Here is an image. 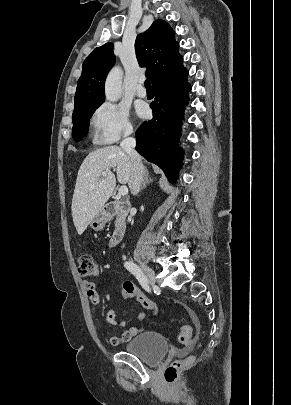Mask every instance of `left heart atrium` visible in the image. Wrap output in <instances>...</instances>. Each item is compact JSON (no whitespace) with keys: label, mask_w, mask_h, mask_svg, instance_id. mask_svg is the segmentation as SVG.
<instances>
[{"label":"left heart atrium","mask_w":291,"mask_h":405,"mask_svg":"<svg viewBox=\"0 0 291 405\" xmlns=\"http://www.w3.org/2000/svg\"><path fill=\"white\" fill-rule=\"evenodd\" d=\"M138 114L140 115V116H145L146 114H147V108L146 107H140L139 109H138Z\"/></svg>","instance_id":"39dd6f15"}]
</instances>
